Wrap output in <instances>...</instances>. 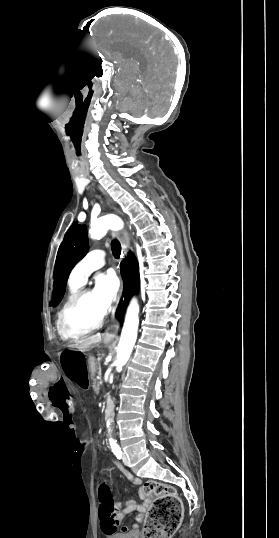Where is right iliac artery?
<instances>
[{
	"mask_svg": "<svg viewBox=\"0 0 279 538\" xmlns=\"http://www.w3.org/2000/svg\"><path fill=\"white\" fill-rule=\"evenodd\" d=\"M114 454L118 459L122 458V451L120 449L114 450Z\"/></svg>",
	"mask_w": 279,
	"mask_h": 538,
	"instance_id": "obj_1",
	"label": "right iliac artery"
}]
</instances>
